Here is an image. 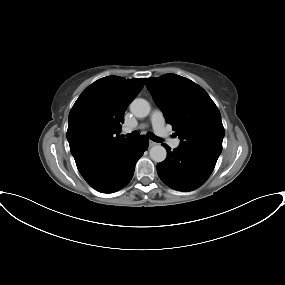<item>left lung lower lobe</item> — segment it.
Here are the masks:
<instances>
[{"mask_svg": "<svg viewBox=\"0 0 285 285\" xmlns=\"http://www.w3.org/2000/svg\"><path fill=\"white\" fill-rule=\"evenodd\" d=\"M167 158L157 165L160 179L179 191H192L200 187L212 173L218 157L183 146L171 151L166 144Z\"/></svg>", "mask_w": 285, "mask_h": 285, "instance_id": "1", "label": "left lung lower lobe"}]
</instances>
